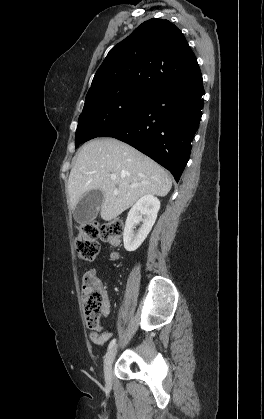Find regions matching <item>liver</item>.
Listing matches in <instances>:
<instances>
[{
    "label": "liver",
    "instance_id": "obj_1",
    "mask_svg": "<svg viewBox=\"0 0 264 419\" xmlns=\"http://www.w3.org/2000/svg\"><path fill=\"white\" fill-rule=\"evenodd\" d=\"M111 175L116 179L112 180ZM169 174L132 146L114 138L95 139L79 151L68 179L70 207L92 190L104 194L101 218L110 221L145 195L166 196Z\"/></svg>",
    "mask_w": 264,
    "mask_h": 419
}]
</instances>
